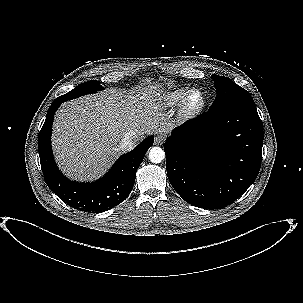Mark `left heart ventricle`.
<instances>
[{
    "label": "left heart ventricle",
    "instance_id": "1",
    "mask_svg": "<svg viewBox=\"0 0 303 303\" xmlns=\"http://www.w3.org/2000/svg\"><path fill=\"white\" fill-rule=\"evenodd\" d=\"M198 100L197 96L193 98V101L196 102Z\"/></svg>",
    "mask_w": 303,
    "mask_h": 303
}]
</instances>
